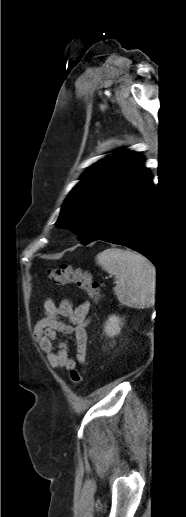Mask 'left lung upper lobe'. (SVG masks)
Returning a JSON list of instances; mask_svg holds the SVG:
<instances>
[{
    "instance_id": "left-lung-upper-lobe-1",
    "label": "left lung upper lobe",
    "mask_w": 186,
    "mask_h": 517,
    "mask_svg": "<svg viewBox=\"0 0 186 517\" xmlns=\"http://www.w3.org/2000/svg\"><path fill=\"white\" fill-rule=\"evenodd\" d=\"M146 171L137 152H116L96 162L69 193L56 225L74 228L88 244L105 214Z\"/></svg>"
}]
</instances>
